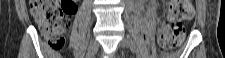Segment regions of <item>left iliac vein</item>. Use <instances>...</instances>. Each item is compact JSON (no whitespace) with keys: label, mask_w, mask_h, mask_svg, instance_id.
<instances>
[{"label":"left iliac vein","mask_w":225,"mask_h":58,"mask_svg":"<svg viewBox=\"0 0 225 58\" xmlns=\"http://www.w3.org/2000/svg\"><path fill=\"white\" fill-rule=\"evenodd\" d=\"M119 44L124 48H128L130 46V41L127 38H123Z\"/></svg>","instance_id":"left-iliac-vein-1"}]
</instances>
